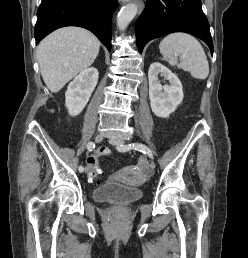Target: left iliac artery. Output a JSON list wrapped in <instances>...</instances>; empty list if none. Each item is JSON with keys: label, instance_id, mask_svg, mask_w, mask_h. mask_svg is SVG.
<instances>
[{"label": "left iliac artery", "instance_id": "44dca946", "mask_svg": "<svg viewBox=\"0 0 248 258\" xmlns=\"http://www.w3.org/2000/svg\"><path fill=\"white\" fill-rule=\"evenodd\" d=\"M117 149L121 152L128 151L130 149L138 150L144 154H147L151 159H153L152 151L144 144L141 143H130L128 145H120Z\"/></svg>", "mask_w": 248, "mask_h": 258}]
</instances>
